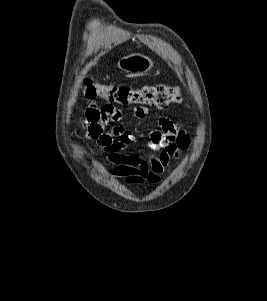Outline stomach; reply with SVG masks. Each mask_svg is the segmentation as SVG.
Masks as SVG:
<instances>
[{"label": "stomach", "mask_w": 267, "mask_h": 301, "mask_svg": "<svg viewBox=\"0 0 267 301\" xmlns=\"http://www.w3.org/2000/svg\"><path fill=\"white\" fill-rule=\"evenodd\" d=\"M153 65L152 59L139 53L123 57L117 63L119 69L135 74L147 73L152 69Z\"/></svg>", "instance_id": "0dacf381"}]
</instances>
